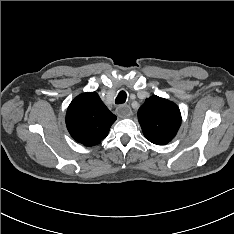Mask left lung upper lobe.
Returning a JSON list of instances; mask_svg holds the SVG:
<instances>
[{
  "mask_svg": "<svg viewBox=\"0 0 234 234\" xmlns=\"http://www.w3.org/2000/svg\"><path fill=\"white\" fill-rule=\"evenodd\" d=\"M138 120L147 140L164 145L177 134L181 113L175 103L154 95L147 98L139 108Z\"/></svg>",
  "mask_w": 234,
  "mask_h": 234,
  "instance_id": "5c2ea615",
  "label": "left lung upper lobe"
}]
</instances>
